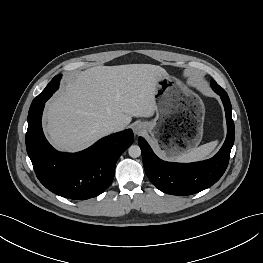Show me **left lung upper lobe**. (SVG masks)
I'll use <instances>...</instances> for the list:
<instances>
[{"instance_id": "left-lung-upper-lobe-1", "label": "left lung upper lobe", "mask_w": 263, "mask_h": 263, "mask_svg": "<svg viewBox=\"0 0 263 263\" xmlns=\"http://www.w3.org/2000/svg\"><path fill=\"white\" fill-rule=\"evenodd\" d=\"M212 86H214V85H218L214 80H212V84H211Z\"/></svg>"}]
</instances>
